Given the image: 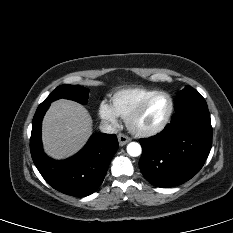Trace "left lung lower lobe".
Wrapping results in <instances>:
<instances>
[{
  "label": "left lung lower lobe",
  "instance_id": "1",
  "mask_svg": "<svg viewBox=\"0 0 233 233\" xmlns=\"http://www.w3.org/2000/svg\"><path fill=\"white\" fill-rule=\"evenodd\" d=\"M140 143V170L152 185L168 188L188 181L202 168L212 146L207 105L176 112L161 133Z\"/></svg>",
  "mask_w": 233,
  "mask_h": 233
}]
</instances>
